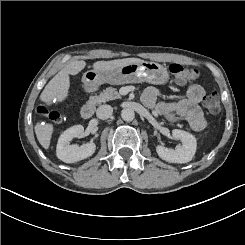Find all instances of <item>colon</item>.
Wrapping results in <instances>:
<instances>
[{"instance_id":"5ec220e1","label":"colon","mask_w":245,"mask_h":245,"mask_svg":"<svg viewBox=\"0 0 245 245\" xmlns=\"http://www.w3.org/2000/svg\"><path fill=\"white\" fill-rule=\"evenodd\" d=\"M171 74L175 76L179 81H188L194 79L198 75V71L194 68L185 67L181 64L174 63L169 68ZM205 109L212 114H216L221 110V104L219 97L216 94L208 95L203 100ZM40 115L47 118L53 123L59 124L62 122V115L42 104L37 108Z\"/></svg>"}]
</instances>
